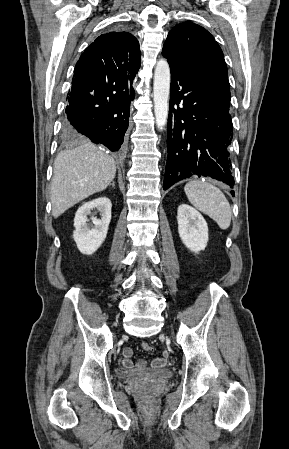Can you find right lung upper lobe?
Wrapping results in <instances>:
<instances>
[{
    "mask_svg": "<svg viewBox=\"0 0 289 449\" xmlns=\"http://www.w3.org/2000/svg\"><path fill=\"white\" fill-rule=\"evenodd\" d=\"M139 42L130 33L110 32L99 36L79 58L73 79L115 81L135 77L140 68Z\"/></svg>",
    "mask_w": 289,
    "mask_h": 449,
    "instance_id": "cb5924a9",
    "label": "right lung upper lobe"
}]
</instances>
